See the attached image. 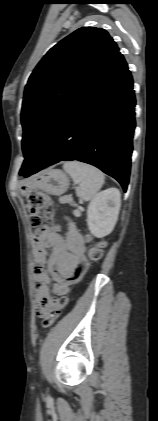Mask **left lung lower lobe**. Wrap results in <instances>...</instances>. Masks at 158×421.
Here are the masks:
<instances>
[{
	"label": "left lung lower lobe",
	"instance_id": "left-lung-lower-lobe-1",
	"mask_svg": "<svg viewBox=\"0 0 158 421\" xmlns=\"http://www.w3.org/2000/svg\"><path fill=\"white\" fill-rule=\"evenodd\" d=\"M135 96L127 63L118 51L59 118L29 177L60 161L78 160L101 169L127 190Z\"/></svg>",
	"mask_w": 158,
	"mask_h": 421
}]
</instances>
